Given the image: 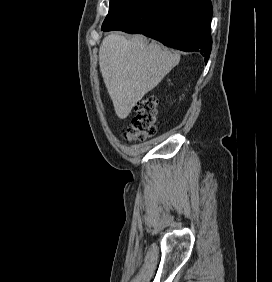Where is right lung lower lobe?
Returning <instances> with one entry per match:
<instances>
[{
  "mask_svg": "<svg viewBox=\"0 0 272 282\" xmlns=\"http://www.w3.org/2000/svg\"><path fill=\"white\" fill-rule=\"evenodd\" d=\"M212 14L210 0H137L102 30L144 34L168 47L200 52L207 61Z\"/></svg>",
  "mask_w": 272,
  "mask_h": 282,
  "instance_id": "1",
  "label": "right lung lower lobe"
}]
</instances>
